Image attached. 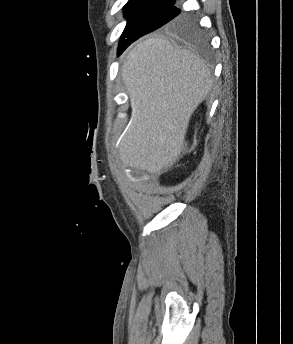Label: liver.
Returning <instances> with one entry per match:
<instances>
[{"instance_id": "liver-1", "label": "liver", "mask_w": 293, "mask_h": 344, "mask_svg": "<svg viewBox=\"0 0 293 344\" xmlns=\"http://www.w3.org/2000/svg\"><path fill=\"white\" fill-rule=\"evenodd\" d=\"M121 72L132 114L120 160L159 173L180 155L191 115L213 87L211 70L190 51L152 37L129 52Z\"/></svg>"}]
</instances>
